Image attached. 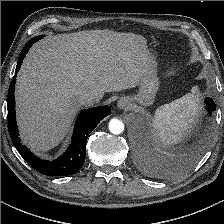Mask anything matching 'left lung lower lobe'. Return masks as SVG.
Instances as JSON below:
<instances>
[{"label":"left lung lower lobe","instance_id":"left-lung-lower-lobe-1","mask_svg":"<svg viewBox=\"0 0 224 224\" xmlns=\"http://www.w3.org/2000/svg\"><path fill=\"white\" fill-rule=\"evenodd\" d=\"M205 103H206V109L208 111V114L211 115L212 112L216 109L215 102L211 98H206ZM146 162H148V165L149 164L152 165L150 160H146Z\"/></svg>","mask_w":224,"mask_h":224}]
</instances>
